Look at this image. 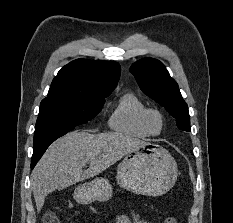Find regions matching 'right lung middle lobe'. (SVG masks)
I'll use <instances>...</instances> for the list:
<instances>
[{"mask_svg": "<svg viewBox=\"0 0 233 223\" xmlns=\"http://www.w3.org/2000/svg\"><path fill=\"white\" fill-rule=\"evenodd\" d=\"M103 105L104 100L65 96L43 99L35 126L33 155L44 152L57 138L92 120Z\"/></svg>", "mask_w": 233, "mask_h": 223, "instance_id": "right-lung-middle-lobe-1", "label": "right lung middle lobe"}]
</instances>
